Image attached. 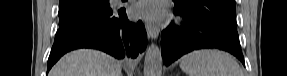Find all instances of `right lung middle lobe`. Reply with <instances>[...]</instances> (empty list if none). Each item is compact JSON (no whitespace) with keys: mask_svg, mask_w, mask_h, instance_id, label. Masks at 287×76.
Returning a JSON list of instances; mask_svg holds the SVG:
<instances>
[{"mask_svg":"<svg viewBox=\"0 0 287 76\" xmlns=\"http://www.w3.org/2000/svg\"><path fill=\"white\" fill-rule=\"evenodd\" d=\"M110 9L109 0H60L59 26L78 19L96 16Z\"/></svg>","mask_w":287,"mask_h":76,"instance_id":"dd1d6c3e","label":"right lung middle lobe"}]
</instances>
